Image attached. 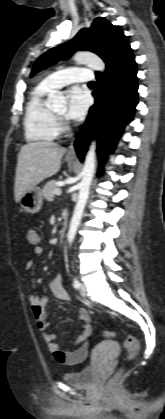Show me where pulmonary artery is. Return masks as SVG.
Listing matches in <instances>:
<instances>
[{
  "mask_svg": "<svg viewBox=\"0 0 165 419\" xmlns=\"http://www.w3.org/2000/svg\"><path fill=\"white\" fill-rule=\"evenodd\" d=\"M92 79L91 69L76 66L51 73L43 79L42 83L51 89H58L74 82H89Z\"/></svg>",
  "mask_w": 165,
  "mask_h": 419,
  "instance_id": "pulmonary-artery-1",
  "label": "pulmonary artery"
}]
</instances>
